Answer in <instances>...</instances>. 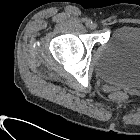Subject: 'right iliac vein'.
Wrapping results in <instances>:
<instances>
[{"instance_id": "obj_1", "label": "right iliac vein", "mask_w": 140, "mask_h": 140, "mask_svg": "<svg viewBox=\"0 0 140 140\" xmlns=\"http://www.w3.org/2000/svg\"><path fill=\"white\" fill-rule=\"evenodd\" d=\"M89 28H90L91 30H95V29H97V24H96V23H92V24L89 26Z\"/></svg>"}]
</instances>
